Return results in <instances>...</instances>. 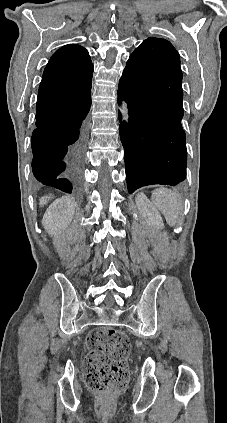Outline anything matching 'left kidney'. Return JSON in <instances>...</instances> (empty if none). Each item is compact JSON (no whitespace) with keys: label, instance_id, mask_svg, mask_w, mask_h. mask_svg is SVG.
Returning a JSON list of instances; mask_svg holds the SVG:
<instances>
[{"label":"left kidney","instance_id":"left-kidney-1","mask_svg":"<svg viewBox=\"0 0 227 423\" xmlns=\"http://www.w3.org/2000/svg\"><path fill=\"white\" fill-rule=\"evenodd\" d=\"M136 204L138 206V210L140 211L142 217H144L145 221H147L148 225L156 227V229H163L164 223L159 211L154 208L153 204L149 202L148 198H146L144 194H137Z\"/></svg>","mask_w":227,"mask_h":423}]
</instances>
